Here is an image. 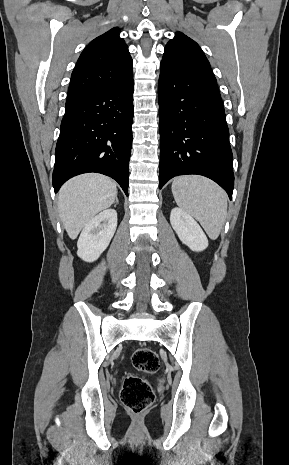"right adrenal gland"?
Segmentation results:
<instances>
[{
	"instance_id": "obj_1",
	"label": "right adrenal gland",
	"mask_w": 289,
	"mask_h": 465,
	"mask_svg": "<svg viewBox=\"0 0 289 465\" xmlns=\"http://www.w3.org/2000/svg\"><path fill=\"white\" fill-rule=\"evenodd\" d=\"M118 203H119V200H118V198H116V204H118Z\"/></svg>"
}]
</instances>
